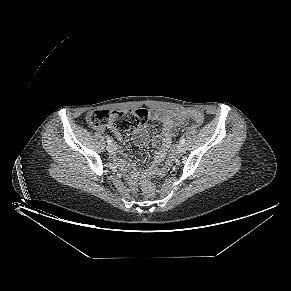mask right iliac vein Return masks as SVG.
<instances>
[{
	"label": "right iliac vein",
	"mask_w": 291,
	"mask_h": 291,
	"mask_svg": "<svg viewBox=\"0 0 291 291\" xmlns=\"http://www.w3.org/2000/svg\"><path fill=\"white\" fill-rule=\"evenodd\" d=\"M107 150H108L109 153H114V151H115V146L112 145V144H111V145H108V146H107Z\"/></svg>",
	"instance_id": "obj_1"
}]
</instances>
